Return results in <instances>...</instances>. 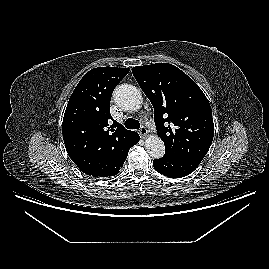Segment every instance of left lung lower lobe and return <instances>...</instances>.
Here are the masks:
<instances>
[{"label":"left lung lower lobe","mask_w":269,"mask_h":269,"mask_svg":"<svg viewBox=\"0 0 269 269\" xmlns=\"http://www.w3.org/2000/svg\"><path fill=\"white\" fill-rule=\"evenodd\" d=\"M201 161L196 159H181L164 155L153 161L155 170L170 178H180L192 173Z\"/></svg>","instance_id":"obj_1"}]
</instances>
